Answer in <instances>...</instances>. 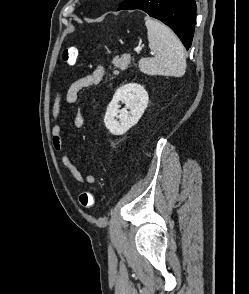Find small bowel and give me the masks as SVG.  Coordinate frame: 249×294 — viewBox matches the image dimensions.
<instances>
[{
    "mask_svg": "<svg viewBox=\"0 0 249 294\" xmlns=\"http://www.w3.org/2000/svg\"><path fill=\"white\" fill-rule=\"evenodd\" d=\"M105 75V70L101 65L95 67V69L87 74L86 76L74 81L66 91L65 95L57 94L54 99L51 111L52 117V143L53 147L57 151L63 150L62 140V128H61V111L63 101L68 105L75 104L82 90L88 87L96 86L101 83ZM74 126L77 129H83L85 127V118L80 111H77L73 119ZM61 163L69 171L71 176L80 184H94L96 179L91 174H83L73 164L71 159L66 155L62 154L60 157Z\"/></svg>",
    "mask_w": 249,
    "mask_h": 294,
    "instance_id": "small-bowel-1",
    "label": "small bowel"
}]
</instances>
